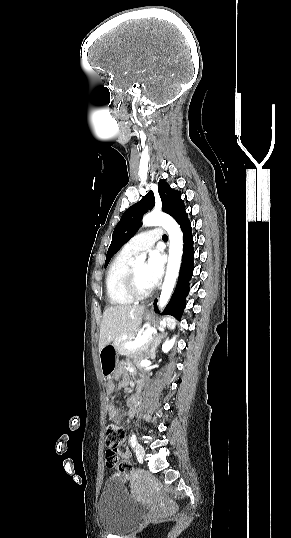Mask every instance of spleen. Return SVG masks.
<instances>
[{
	"instance_id": "obj_1",
	"label": "spleen",
	"mask_w": 291,
	"mask_h": 538,
	"mask_svg": "<svg viewBox=\"0 0 291 538\" xmlns=\"http://www.w3.org/2000/svg\"><path fill=\"white\" fill-rule=\"evenodd\" d=\"M166 319H167L168 326H169L170 328H174L175 325H176V321H175V319H174V318H171V317H167Z\"/></svg>"
}]
</instances>
